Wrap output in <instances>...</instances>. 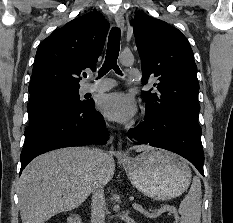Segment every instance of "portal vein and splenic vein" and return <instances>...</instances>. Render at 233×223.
<instances>
[{
  "label": "portal vein and splenic vein",
  "mask_w": 233,
  "mask_h": 223,
  "mask_svg": "<svg viewBox=\"0 0 233 223\" xmlns=\"http://www.w3.org/2000/svg\"><path fill=\"white\" fill-rule=\"evenodd\" d=\"M134 209H138L140 213H144L146 217H158V215H161V213H158V211H154V213H149V211H146L142 205H138V203H133Z\"/></svg>",
  "instance_id": "1"
}]
</instances>
